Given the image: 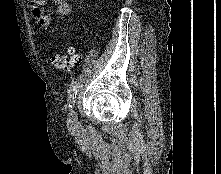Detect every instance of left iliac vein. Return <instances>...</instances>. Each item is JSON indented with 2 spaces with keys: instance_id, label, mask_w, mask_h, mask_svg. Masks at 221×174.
Masks as SVG:
<instances>
[{
  "instance_id": "1",
  "label": "left iliac vein",
  "mask_w": 221,
  "mask_h": 174,
  "mask_svg": "<svg viewBox=\"0 0 221 174\" xmlns=\"http://www.w3.org/2000/svg\"><path fill=\"white\" fill-rule=\"evenodd\" d=\"M69 122H70V127L73 130H79L80 129V123L78 121V116H77V113L74 109H72L70 114H69Z\"/></svg>"
}]
</instances>
